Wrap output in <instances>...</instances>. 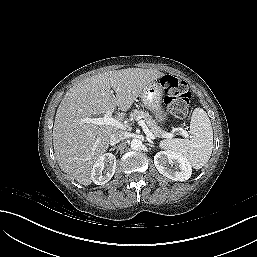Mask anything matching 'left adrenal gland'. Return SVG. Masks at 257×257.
Listing matches in <instances>:
<instances>
[{"instance_id":"a2214340","label":"left adrenal gland","mask_w":257,"mask_h":257,"mask_svg":"<svg viewBox=\"0 0 257 257\" xmlns=\"http://www.w3.org/2000/svg\"><path fill=\"white\" fill-rule=\"evenodd\" d=\"M149 146H150V147H154V143L151 142V143L149 144Z\"/></svg>"}]
</instances>
